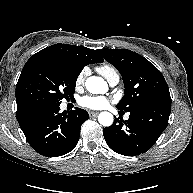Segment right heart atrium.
<instances>
[{
	"mask_svg": "<svg viewBox=\"0 0 193 193\" xmlns=\"http://www.w3.org/2000/svg\"><path fill=\"white\" fill-rule=\"evenodd\" d=\"M86 75H87V68H83L79 74L77 75L76 77V85L77 86H80L84 83V80L86 78Z\"/></svg>",
	"mask_w": 193,
	"mask_h": 193,
	"instance_id": "1",
	"label": "right heart atrium"
}]
</instances>
